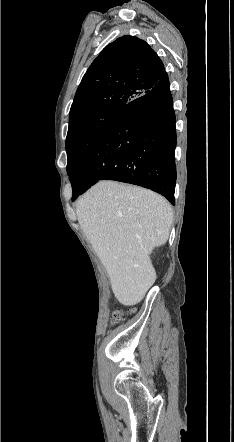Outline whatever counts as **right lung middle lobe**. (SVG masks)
Returning a JSON list of instances; mask_svg holds the SVG:
<instances>
[{"label": "right lung middle lobe", "instance_id": "dd1d6c3e", "mask_svg": "<svg viewBox=\"0 0 234 442\" xmlns=\"http://www.w3.org/2000/svg\"><path fill=\"white\" fill-rule=\"evenodd\" d=\"M119 110L120 108L104 109L69 122L66 139L67 173L69 177L81 159L105 133Z\"/></svg>", "mask_w": 234, "mask_h": 442}]
</instances>
